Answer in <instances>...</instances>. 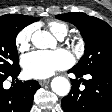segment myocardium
<instances>
[{
    "label": "myocardium",
    "mask_w": 112,
    "mask_h": 112,
    "mask_svg": "<svg viewBox=\"0 0 112 112\" xmlns=\"http://www.w3.org/2000/svg\"><path fill=\"white\" fill-rule=\"evenodd\" d=\"M76 44V41H73V45H75Z\"/></svg>",
    "instance_id": "obj_1"
}]
</instances>
